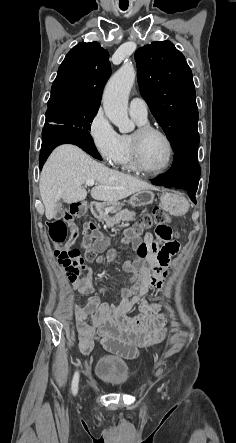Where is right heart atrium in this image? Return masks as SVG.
I'll use <instances>...</instances> for the list:
<instances>
[{
  "label": "right heart atrium",
  "mask_w": 236,
  "mask_h": 443,
  "mask_svg": "<svg viewBox=\"0 0 236 443\" xmlns=\"http://www.w3.org/2000/svg\"><path fill=\"white\" fill-rule=\"evenodd\" d=\"M88 137L95 151L109 165H117L122 157L121 136L116 132L102 109L92 116Z\"/></svg>",
  "instance_id": "d8ad5b80"
}]
</instances>
